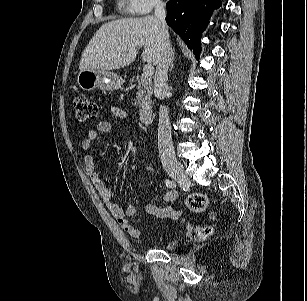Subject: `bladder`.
Returning <instances> with one entry per match:
<instances>
[{
    "instance_id": "obj_1",
    "label": "bladder",
    "mask_w": 307,
    "mask_h": 301,
    "mask_svg": "<svg viewBox=\"0 0 307 301\" xmlns=\"http://www.w3.org/2000/svg\"><path fill=\"white\" fill-rule=\"evenodd\" d=\"M175 244H176V241L175 240H168V241H166L164 244H163V246H162V248L163 249H166V250H170V249H172V248H174L175 247Z\"/></svg>"
}]
</instances>
